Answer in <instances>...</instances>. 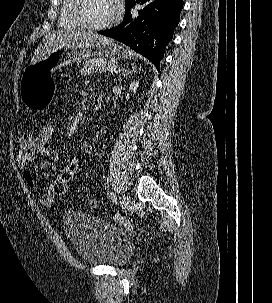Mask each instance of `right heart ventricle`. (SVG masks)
I'll return each mask as SVG.
<instances>
[{
  "label": "right heart ventricle",
  "mask_w": 272,
  "mask_h": 303,
  "mask_svg": "<svg viewBox=\"0 0 272 303\" xmlns=\"http://www.w3.org/2000/svg\"><path fill=\"white\" fill-rule=\"evenodd\" d=\"M72 0H63L60 15H59V26L64 29H79L81 26L75 22L70 16V7Z\"/></svg>",
  "instance_id": "e07e8e85"
}]
</instances>
